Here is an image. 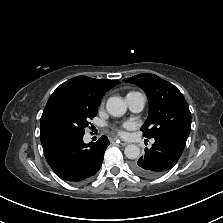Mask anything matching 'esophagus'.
Here are the masks:
<instances>
[{"label": "esophagus", "mask_w": 223, "mask_h": 223, "mask_svg": "<svg viewBox=\"0 0 223 223\" xmlns=\"http://www.w3.org/2000/svg\"><path fill=\"white\" fill-rule=\"evenodd\" d=\"M113 141H116L117 143H119L122 146H126L128 144V142L121 140L119 138H114Z\"/></svg>", "instance_id": "34e87169"}]
</instances>
